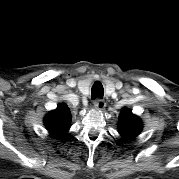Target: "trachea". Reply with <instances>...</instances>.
Listing matches in <instances>:
<instances>
[{
    "label": "trachea",
    "instance_id": "3493384b",
    "mask_svg": "<svg viewBox=\"0 0 179 179\" xmlns=\"http://www.w3.org/2000/svg\"><path fill=\"white\" fill-rule=\"evenodd\" d=\"M91 94H92V98H99L102 99L103 95H104V89H103V85L101 84V82L96 81L92 88H91Z\"/></svg>",
    "mask_w": 179,
    "mask_h": 179
}]
</instances>
